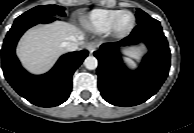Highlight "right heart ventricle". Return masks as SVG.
<instances>
[{"mask_svg": "<svg viewBox=\"0 0 194 133\" xmlns=\"http://www.w3.org/2000/svg\"><path fill=\"white\" fill-rule=\"evenodd\" d=\"M118 9H94L83 19L84 25L93 32L106 33L112 18L118 13Z\"/></svg>", "mask_w": 194, "mask_h": 133, "instance_id": "e07e8e85", "label": "right heart ventricle"}]
</instances>
